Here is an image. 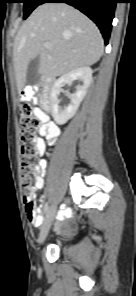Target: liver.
Segmentation results:
<instances>
[{
  "instance_id": "6515ba94",
  "label": "liver",
  "mask_w": 136,
  "mask_h": 296,
  "mask_svg": "<svg viewBox=\"0 0 136 296\" xmlns=\"http://www.w3.org/2000/svg\"><path fill=\"white\" fill-rule=\"evenodd\" d=\"M46 42L52 47L45 48ZM103 50L99 29L83 13L65 3L38 6L14 41L13 63L18 93L27 83V68L35 57L40 58L39 75L55 78L95 64Z\"/></svg>"
}]
</instances>
